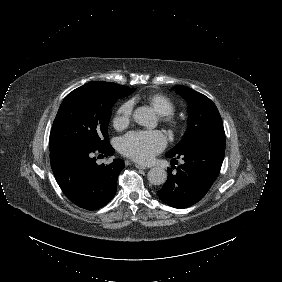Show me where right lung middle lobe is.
<instances>
[{"label": "right lung middle lobe", "mask_w": 282, "mask_h": 282, "mask_svg": "<svg viewBox=\"0 0 282 282\" xmlns=\"http://www.w3.org/2000/svg\"><path fill=\"white\" fill-rule=\"evenodd\" d=\"M134 88L112 82H89L63 100L50 133V151L69 144H109L108 124L111 108L118 99L127 97Z\"/></svg>", "instance_id": "right-lung-middle-lobe-1"}]
</instances>
